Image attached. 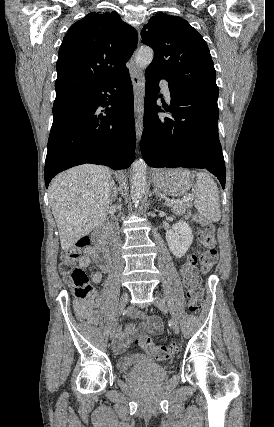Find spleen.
<instances>
[{
  "label": "spleen",
  "mask_w": 274,
  "mask_h": 427,
  "mask_svg": "<svg viewBox=\"0 0 274 427\" xmlns=\"http://www.w3.org/2000/svg\"><path fill=\"white\" fill-rule=\"evenodd\" d=\"M194 198V206L200 215L211 221H219L221 212L218 188L206 172H197Z\"/></svg>",
  "instance_id": "obj_1"
}]
</instances>
